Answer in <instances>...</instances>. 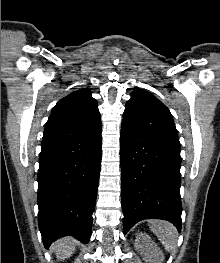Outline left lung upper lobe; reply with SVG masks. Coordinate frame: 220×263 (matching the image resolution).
<instances>
[{"mask_svg":"<svg viewBox=\"0 0 220 263\" xmlns=\"http://www.w3.org/2000/svg\"><path fill=\"white\" fill-rule=\"evenodd\" d=\"M122 123L156 136L180 148L173 117L168 108L152 94L136 89L125 105Z\"/></svg>","mask_w":220,"mask_h":263,"instance_id":"1","label":"left lung upper lobe"}]
</instances>
